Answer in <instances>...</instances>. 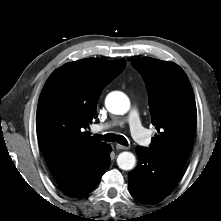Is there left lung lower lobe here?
Wrapping results in <instances>:
<instances>
[{
    "instance_id": "1",
    "label": "left lung lower lobe",
    "mask_w": 221,
    "mask_h": 221,
    "mask_svg": "<svg viewBox=\"0 0 221 221\" xmlns=\"http://www.w3.org/2000/svg\"><path fill=\"white\" fill-rule=\"evenodd\" d=\"M137 167L128 174L131 195L147 204L163 200L179 180L183 166L136 147Z\"/></svg>"
}]
</instances>
